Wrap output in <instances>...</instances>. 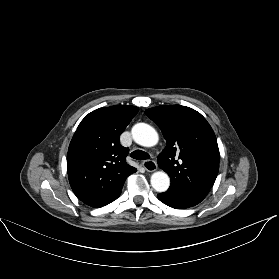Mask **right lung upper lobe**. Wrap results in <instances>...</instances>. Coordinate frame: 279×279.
Segmentation results:
<instances>
[{"label": "right lung upper lobe", "instance_id": "1", "mask_svg": "<svg viewBox=\"0 0 279 279\" xmlns=\"http://www.w3.org/2000/svg\"><path fill=\"white\" fill-rule=\"evenodd\" d=\"M138 110L129 105L104 107L79 124L69 145L67 169L72 190L85 204L99 208L111 203L137 171L126 162L129 151L120 144V135Z\"/></svg>", "mask_w": 279, "mask_h": 279}]
</instances>
